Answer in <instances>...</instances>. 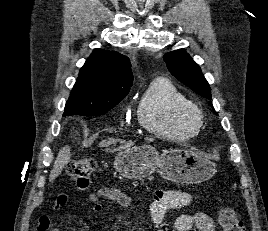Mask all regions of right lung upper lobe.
Listing matches in <instances>:
<instances>
[{
    "label": "right lung upper lobe",
    "instance_id": "right-lung-upper-lobe-1",
    "mask_svg": "<svg viewBox=\"0 0 268 231\" xmlns=\"http://www.w3.org/2000/svg\"><path fill=\"white\" fill-rule=\"evenodd\" d=\"M132 83L128 57L118 52L95 49L80 69L67 103L95 105L122 100Z\"/></svg>",
    "mask_w": 268,
    "mask_h": 231
}]
</instances>
